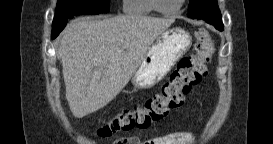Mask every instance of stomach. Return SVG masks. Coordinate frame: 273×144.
I'll return each mask as SVG.
<instances>
[{"mask_svg":"<svg viewBox=\"0 0 273 144\" xmlns=\"http://www.w3.org/2000/svg\"><path fill=\"white\" fill-rule=\"evenodd\" d=\"M190 34L180 28L166 29L148 49L132 76V84L138 89H147L161 81L175 63L191 47Z\"/></svg>","mask_w":273,"mask_h":144,"instance_id":"stomach-1","label":"stomach"}]
</instances>
